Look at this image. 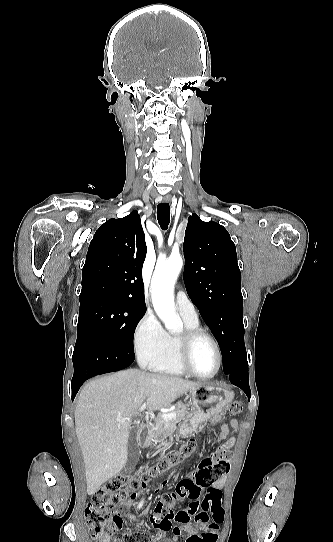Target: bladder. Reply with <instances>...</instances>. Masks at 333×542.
I'll return each mask as SVG.
<instances>
[{"label": "bladder", "instance_id": "bladder-1", "mask_svg": "<svg viewBox=\"0 0 333 542\" xmlns=\"http://www.w3.org/2000/svg\"><path fill=\"white\" fill-rule=\"evenodd\" d=\"M160 542H174L173 540H162Z\"/></svg>", "mask_w": 333, "mask_h": 542}]
</instances>
